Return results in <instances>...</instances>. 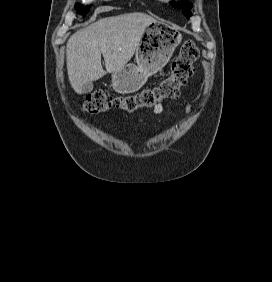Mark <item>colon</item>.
<instances>
[{
  "mask_svg": "<svg viewBox=\"0 0 272 282\" xmlns=\"http://www.w3.org/2000/svg\"><path fill=\"white\" fill-rule=\"evenodd\" d=\"M198 49L191 41H185L174 58L170 72L162 81L135 95L113 96L108 90H98L90 94L81 108L87 114H98L117 108L132 113L151 109L159 103L178 97L180 88L193 74L192 64L198 59Z\"/></svg>",
  "mask_w": 272,
  "mask_h": 282,
  "instance_id": "1",
  "label": "colon"
}]
</instances>
